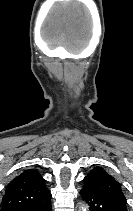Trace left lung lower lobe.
<instances>
[{
  "mask_svg": "<svg viewBox=\"0 0 133 211\" xmlns=\"http://www.w3.org/2000/svg\"><path fill=\"white\" fill-rule=\"evenodd\" d=\"M80 195L89 205L90 211H127L126 202L82 188Z\"/></svg>",
  "mask_w": 133,
  "mask_h": 211,
  "instance_id": "0a47b994",
  "label": "left lung lower lobe"
}]
</instances>
